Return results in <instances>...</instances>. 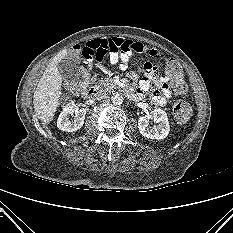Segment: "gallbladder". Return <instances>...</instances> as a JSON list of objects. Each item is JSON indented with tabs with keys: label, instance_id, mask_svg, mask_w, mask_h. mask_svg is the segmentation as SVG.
Returning <instances> with one entry per match:
<instances>
[{
	"label": "gallbladder",
	"instance_id": "1",
	"mask_svg": "<svg viewBox=\"0 0 233 233\" xmlns=\"http://www.w3.org/2000/svg\"><path fill=\"white\" fill-rule=\"evenodd\" d=\"M57 68L64 80L74 81L79 79L81 75V70L78 65L69 59H62L57 64Z\"/></svg>",
	"mask_w": 233,
	"mask_h": 233
}]
</instances>
